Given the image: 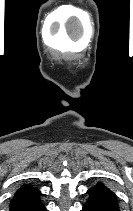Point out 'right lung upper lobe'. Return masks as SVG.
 <instances>
[{
  "label": "right lung upper lobe",
  "instance_id": "obj_1",
  "mask_svg": "<svg viewBox=\"0 0 133 211\" xmlns=\"http://www.w3.org/2000/svg\"><path fill=\"white\" fill-rule=\"evenodd\" d=\"M40 195L41 193L37 188L25 184L15 192L10 201V209L33 203L40 199Z\"/></svg>",
  "mask_w": 133,
  "mask_h": 211
}]
</instances>
